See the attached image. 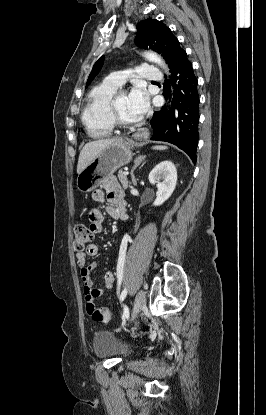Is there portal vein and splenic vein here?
<instances>
[{
    "label": "portal vein and splenic vein",
    "mask_w": 266,
    "mask_h": 415,
    "mask_svg": "<svg viewBox=\"0 0 266 415\" xmlns=\"http://www.w3.org/2000/svg\"><path fill=\"white\" fill-rule=\"evenodd\" d=\"M124 174L128 175V174H129V172H128V171H125V172H124Z\"/></svg>",
    "instance_id": "18ae733b"
}]
</instances>
